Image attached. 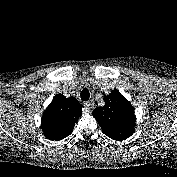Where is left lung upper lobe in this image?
Segmentation results:
<instances>
[{
    "label": "left lung upper lobe",
    "instance_id": "left-lung-upper-lobe-1",
    "mask_svg": "<svg viewBox=\"0 0 177 177\" xmlns=\"http://www.w3.org/2000/svg\"><path fill=\"white\" fill-rule=\"evenodd\" d=\"M104 101L103 107H97L92 112L103 133L113 140L127 139L135 130L134 108L117 90L104 96Z\"/></svg>",
    "mask_w": 177,
    "mask_h": 177
}]
</instances>
